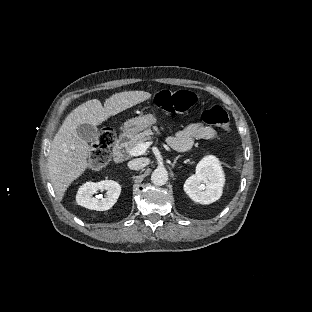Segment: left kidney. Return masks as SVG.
Masks as SVG:
<instances>
[{
    "instance_id": "left-kidney-1",
    "label": "left kidney",
    "mask_w": 312,
    "mask_h": 312,
    "mask_svg": "<svg viewBox=\"0 0 312 312\" xmlns=\"http://www.w3.org/2000/svg\"><path fill=\"white\" fill-rule=\"evenodd\" d=\"M225 176L219 159L205 156L196 166V173L184 184V191L200 204H210L218 200L223 191Z\"/></svg>"
}]
</instances>
